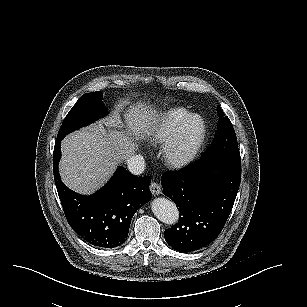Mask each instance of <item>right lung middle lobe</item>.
I'll return each mask as SVG.
<instances>
[{
  "instance_id": "obj_1",
  "label": "right lung middle lobe",
  "mask_w": 307,
  "mask_h": 307,
  "mask_svg": "<svg viewBox=\"0 0 307 307\" xmlns=\"http://www.w3.org/2000/svg\"><path fill=\"white\" fill-rule=\"evenodd\" d=\"M107 114L102 102V92L96 91L82 95L65 117L57 135L62 140L70 132L88 125Z\"/></svg>"
}]
</instances>
